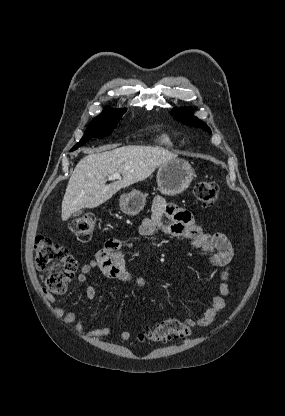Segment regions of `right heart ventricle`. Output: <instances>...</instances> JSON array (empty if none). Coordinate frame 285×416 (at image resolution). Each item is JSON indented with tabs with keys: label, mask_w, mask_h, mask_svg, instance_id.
Masks as SVG:
<instances>
[{
	"label": "right heart ventricle",
	"mask_w": 285,
	"mask_h": 416,
	"mask_svg": "<svg viewBox=\"0 0 285 416\" xmlns=\"http://www.w3.org/2000/svg\"><path fill=\"white\" fill-rule=\"evenodd\" d=\"M158 141H159L161 144H164V145H168V144H170V143H171V139H170V137H169L167 134H161V135L158 137Z\"/></svg>",
	"instance_id": "1"
}]
</instances>
